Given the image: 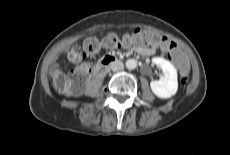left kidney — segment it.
<instances>
[{"mask_svg":"<svg viewBox=\"0 0 230 155\" xmlns=\"http://www.w3.org/2000/svg\"><path fill=\"white\" fill-rule=\"evenodd\" d=\"M152 62L161 68L163 75L159 81H152V92L159 98L167 99L176 94L178 90L177 70L168 60L154 57Z\"/></svg>","mask_w":230,"mask_h":155,"instance_id":"1","label":"left kidney"}]
</instances>
